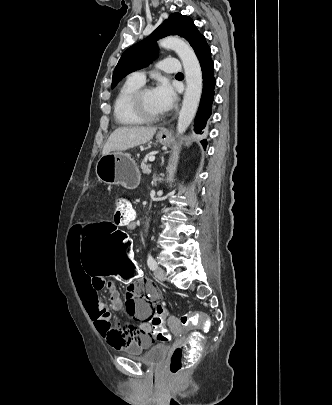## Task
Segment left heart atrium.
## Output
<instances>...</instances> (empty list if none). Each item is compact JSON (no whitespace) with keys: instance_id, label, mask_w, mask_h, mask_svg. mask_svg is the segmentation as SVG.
I'll list each match as a JSON object with an SVG mask.
<instances>
[{"instance_id":"1","label":"left heart atrium","mask_w":332,"mask_h":405,"mask_svg":"<svg viewBox=\"0 0 332 405\" xmlns=\"http://www.w3.org/2000/svg\"><path fill=\"white\" fill-rule=\"evenodd\" d=\"M153 91L157 103L162 111L166 112L174 106L176 101V94L168 81H159Z\"/></svg>"}]
</instances>
